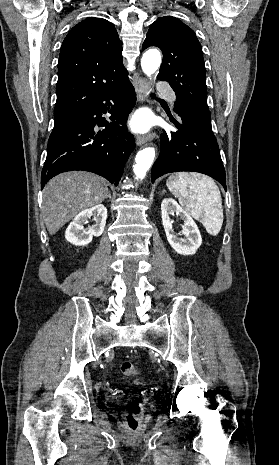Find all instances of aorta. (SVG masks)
Returning <instances> with one entry per match:
<instances>
[{
	"instance_id": "aorta-1",
	"label": "aorta",
	"mask_w": 279,
	"mask_h": 465,
	"mask_svg": "<svg viewBox=\"0 0 279 465\" xmlns=\"http://www.w3.org/2000/svg\"><path fill=\"white\" fill-rule=\"evenodd\" d=\"M160 65L161 55L159 51L153 49L143 54L141 67L148 77L156 73ZM154 157L155 149L153 147H146L137 153L135 165L133 166L136 179H143L146 176L147 171L153 163Z\"/></svg>"
}]
</instances>
